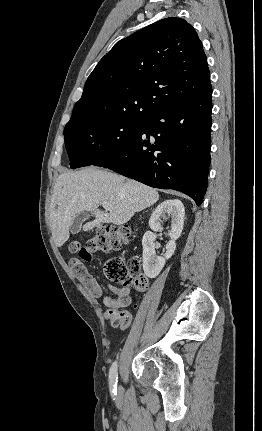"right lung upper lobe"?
<instances>
[{
	"mask_svg": "<svg viewBox=\"0 0 262 431\" xmlns=\"http://www.w3.org/2000/svg\"><path fill=\"white\" fill-rule=\"evenodd\" d=\"M209 84L207 58L194 28L180 18L163 19L120 40L99 61L66 126L146 118Z\"/></svg>",
	"mask_w": 262,
	"mask_h": 431,
	"instance_id": "cb5924a9",
	"label": "right lung upper lobe"
}]
</instances>
